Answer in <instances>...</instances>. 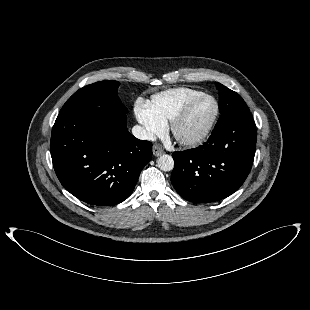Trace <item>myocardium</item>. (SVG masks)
<instances>
[{"label":"myocardium","instance_id":"1","mask_svg":"<svg viewBox=\"0 0 310 310\" xmlns=\"http://www.w3.org/2000/svg\"><path fill=\"white\" fill-rule=\"evenodd\" d=\"M202 99H210L213 101L214 103V112L210 118V120L208 121V123L206 124V126L203 128V130L198 133L197 135L193 136V137H189V138H184L181 137L178 134V127L179 125L185 120V118L187 117V115L189 114L190 110L192 109V107L200 100ZM219 104L218 101L216 100L215 97H213L212 95L209 94H205L202 93L196 97H193L192 99H190L187 103H185L183 105V107L178 111V113L172 118L171 122H170V132L171 135L173 136V138L180 144L186 147H196L199 146L200 144H202L210 135V133L212 132L218 116H219Z\"/></svg>","mask_w":310,"mask_h":310}]
</instances>
